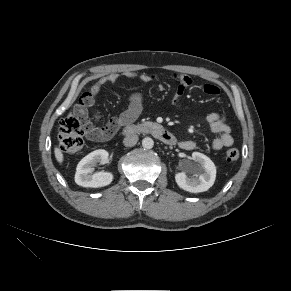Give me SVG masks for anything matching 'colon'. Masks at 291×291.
Segmentation results:
<instances>
[{
	"label": "colon",
	"instance_id": "obj_1",
	"mask_svg": "<svg viewBox=\"0 0 291 291\" xmlns=\"http://www.w3.org/2000/svg\"><path fill=\"white\" fill-rule=\"evenodd\" d=\"M93 95L89 93H84L80 99L78 107L70 112L64 119H62L59 128V144L65 153H77L79 152L83 145L84 135H88L91 129L87 117V108L93 104ZM118 124L115 120H111L108 124V130L111 135H113L118 129ZM239 158L238 149L231 147L225 153V159L228 162H235Z\"/></svg>",
	"mask_w": 291,
	"mask_h": 291
}]
</instances>
